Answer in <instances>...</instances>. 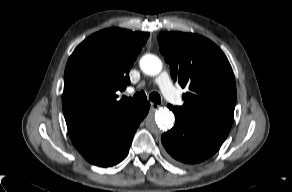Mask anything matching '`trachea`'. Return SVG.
Returning <instances> with one entry per match:
<instances>
[{
	"mask_svg": "<svg viewBox=\"0 0 292 192\" xmlns=\"http://www.w3.org/2000/svg\"><path fill=\"white\" fill-rule=\"evenodd\" d=\"M125 101L131 102V103H139V102H144L147 100L146 94L141 91L139 93H136L132 98H128L126 96L122 97ZM149 99L155 103H160V95L156 92H153L150 94Z\"/></svg>",
	"mask_w": 292,
	"mask_h": 192,
	"instance_id": "trachea-1",
	"label": "trachea"
}]
</instances>
